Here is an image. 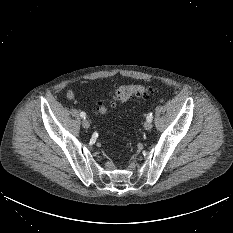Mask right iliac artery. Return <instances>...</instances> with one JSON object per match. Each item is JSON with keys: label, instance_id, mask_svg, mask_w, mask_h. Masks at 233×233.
I'll use <instances>...</instances> for the list:
<instances>
[{"label": "right iliac artery", "instance_id": "obj_1", "mask_svg": "<svg viewBox=\"0 0 233 233\" xmlns=\"http://www.w3.org/2000/svg\"><path fill=\"white\" fill-rule=\"evenodd\" d=\"M80 116H81L82 118H84V119H85V117H86L85 112H81V113H80Z\"/></svg>", "mask_w": 233, "mask_h": 233}]
</instances>
